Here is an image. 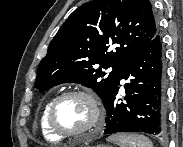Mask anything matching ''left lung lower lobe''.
Instances as JSON below:
<instances>
[{"label":"left lung lower lobe","instance_id":"left-lung-lower-lobe-1","mask_svg":"<svg viewBox=\"0 0 183 147\" xmlns=\"http://www.w3.org/2000/svg\"><path fill=\"white\" fill-rule=\"evenodd\" d=\"M121 79L129 81L124 99L117 97ZM104 106L105 134L165 133V68L158 33L126 61Z\"/></svg>","mask_w":183,"mask_h":147}]
</instances>
